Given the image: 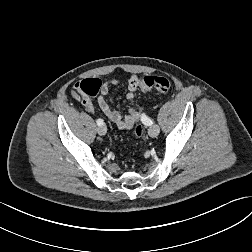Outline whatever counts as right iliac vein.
I'll list each match as a JSON object with an SVG mask.
<instances>
[{"label":"right iliac vein","instance_id":"63e3f726","mask_svg":"<svg viewBox=\"0 0 252 252\" xmlns=\"http://www.w3.org/2000/svg\"><path fill=\"white\" fill-rule=\"evenodd\" d=\"M106 131H107V128L105 125H101L97 128V132L98 134L100 135H105L106 134Z\"/></svg>","mask_w":252,"mask_h":252}]
</instances>
